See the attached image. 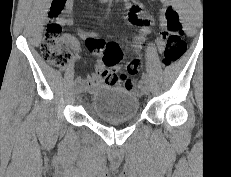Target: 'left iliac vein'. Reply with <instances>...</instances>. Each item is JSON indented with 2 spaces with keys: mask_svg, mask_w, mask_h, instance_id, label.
Instances as JSON below:
<instances>
[{
  "mask_svg": "<svg viewBox=\"0 0 231 177\" xmlns=\"http://www.w3.org/2000/svg\"><path fill=\"white\" fill-rule=\"evenodd\" d=\"M142 89H143V93L145 95H149L150 94L151 87H150L149 83L146 80L143 81V88Z\"/></svg>",
  "mask_w": 231,
  "mask_h": 177,
  "instance_id": "left-iliac-vein-1",
  "label": "left iliac vein"
}]
</instances>
